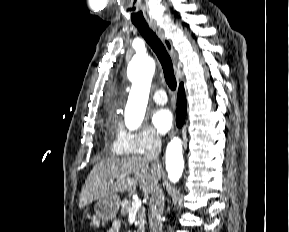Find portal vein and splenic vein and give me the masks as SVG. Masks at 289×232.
Listing matches in <instances>:
<instances>
[{
  "label": "portal vein and splenic vein",
  "instance_id": "portal-vein-and-splenic-vein-1",
  "mask_svg": "<svg viewBox=\"0 0 289 232\" xmlns=\"http://www.w3.org/2000/svg\"><path fill=\"white\" fill-rule=\"evenodd\" d=\"M110 182H113V180L111 179ZM142 205V202L140 199H135L132 203L131 209L129 211V214L136 212Z\"/></svg>",
  "mask_w": 289,
  "mask_h": 232
}]
</instances>
